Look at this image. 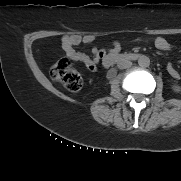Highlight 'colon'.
<instances>
[{
    "label": "colon",
    "mask_w": 181,
    "mask_h": 181,
    "mask_svg": "<svg viewBox=\"0 0 181 181\" xmlns=\"http://www.w3.org/2000/svg\"><path fill=\"white\" fill-rule=\"evenodd\" d=\"M50 76L69 91L75 92L82 87V78L80 74L73 68L67 59H60L55 62L50 68Z\"/></svg>",
    "instance_id": "colon-1"
}]
</instances>
